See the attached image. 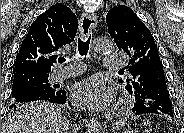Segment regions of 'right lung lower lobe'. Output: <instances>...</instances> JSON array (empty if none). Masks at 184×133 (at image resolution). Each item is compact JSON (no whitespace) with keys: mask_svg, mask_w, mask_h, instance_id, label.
<instances>
[{"mask_svg":"<svg viewBox=\"0 0 184 133\" xmlns=\"http://www.w3.org/2000/svg\"><path fill=\"white\" fill-rule=\"evenodd\" d=\"M37 100H44L51 103L64 104L66 103V93L65 90H56L50 95H39L32 92L18 93L12 97L11 101L13 104L32 102Z\"/></svg>","mask_w":184,"mask_h":133,"instance_id":"obj_1","label":"right lung lower lobe"}]
</instances>
